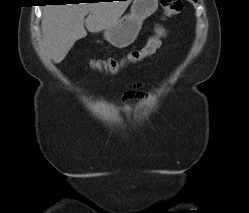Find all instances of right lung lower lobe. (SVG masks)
<instances>
[{
  "instance_id": "1",
  "label": "right lung lower lobe",
  "mask_w": 249,
  "mask_h": 213,
  "mask_svg": "<svg viewBox=\"0 0 249 213\" xmlns=\"http://www.w3.org/2000/svg\"><path fill=\"white\" fill-rule=\"evenodd\" d=\"M65 0H48V2H55V3H66Z\"/></svg>"
}]
</instances>
